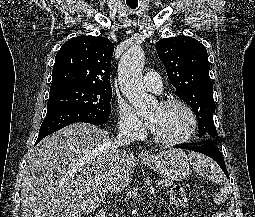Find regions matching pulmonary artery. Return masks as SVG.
<instances>
[{"mask_svg": "<svg viewBox=\"0 0 255 217\" xmlns=\"http://www.w3.org/2000/svg\"><path fill=\"white\" fill-rule=\"evenodd\" d=\"M143 85L149 91L161 92L162 79L157 72L150 71L144 75Z\"/></svg>", "mask_w": 255, "mask_h": 217, "instance_id": "1", "label": "pulmonary artery"}]
</instances>
